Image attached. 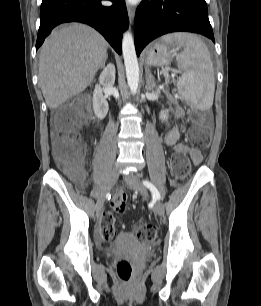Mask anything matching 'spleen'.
Instances as JSON below:
<instances>
[{"instance_id":"3e777b00","label":"spleen","mask_w":261,"mask_h":306,"mask_svg":"<svg viewBox=\"0 0 261 306\" xmlns=\"http://www.w3.org/2000/svg\"><path fill=\"white\" fill-rule=\"evenodd\" d=\"M162 41L177 45L174 56L181 72L177 81L181 97L199 110L210 109L214 99L215 78L210 52L205 43L196 35L184 32L164 35ZM181 46H185V49L177 54Z\"/></svg>"}]
</instances>
